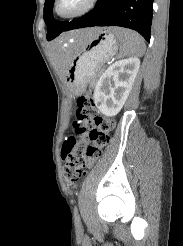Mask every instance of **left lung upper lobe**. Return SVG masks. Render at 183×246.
I'll list each match as a JSON object with an SVG mask.
<instances>
[{
    "label": "left lung upper lobe",
    "mask_w": 183,
    "mask_h": 246,
    "mask_svg": "<svg viewBox=\"0 0 183 246\" xmlns=\"http://www.w3.org/2000/svg\"><path fill=\"white\" fill-rule=\"evenodd\" d=\"M55 0H45L44 4V21L47 25V40L50 41L57 37L64 28L67 26L68 22H60L53 19L52 7Z\"/></svg>",
    "instance_id": "5c2ea615"
}]
</instances>
